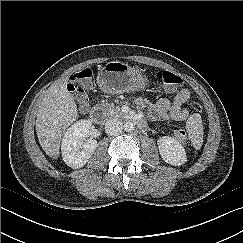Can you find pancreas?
Listing matches in <instances>:
<instances>
[{
    "instance_id": "pancreas-1",
    "label": "pancreas",
    "mask_w": 243,
    "mask_h": 243,
    "mask_svg": "<svg viewBox=\"0 0 243 243\" xmlns=\"http://www.w3.org/2000/svg\"><path fill=\"white\" fill-rule=\"evenodd\" d=\"M109 108H107L106 115L109 117H114L120 113V107L114 106V105H107Z\"/></svg>"
}]
</instances>
